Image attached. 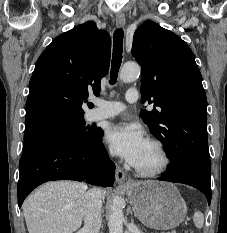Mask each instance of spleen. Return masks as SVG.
<instances>
[{
    "mask_svg": "<svg viewBox=\"0 0 227 233\" xmlns=\"http://www.w3.org/2000/svg\"><path fill=\"white\" fill-rule=\"evenodd\" d=\"M193 221H194L195 226L197 228H201L203 226V223H204L203 214L200 211L195 212V214L193 216Z\"/></svg>",
    "mask_w": 227,
    "mask_h": 233,
    "instance_id": "3e777b00",
    "label": "spleen"
}]
</instances>
